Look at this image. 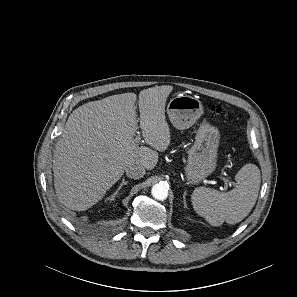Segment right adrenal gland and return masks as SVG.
<instances>
[{"label": "right adrenal gland", "mask_w": 297, "mask_h": 297, "mask_svg": "<svg viewBox=\"0 0 297 297\" xmlns=\"http://www.w3.org/2000/svg\"><path fill=\"white\" fill-rule=\"evenodd\" d=\"M128 181H125L124 178L122 180V182L120 183L119 187L117 188V190L112 194L111 196V200H114V198L118 195L120 189L124 186L127 185Z\"/></svg>", "instance_id": "right-adrenal-gland-1"}]
</instances>
